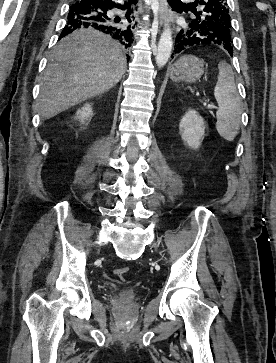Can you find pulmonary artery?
Returning <instances> with one entry per match:
<instances>
[{
	"instance_id": "1",
	"label": "pulmonary artery",
	"mask_w": 276,
	"mask_h": 363,
	"mask_svg": "<svg viewBox=\"0 0 276 363\" xmlns=\"http://www.w3.org/2000/svg\"><path fill=\"white\" fill-rule=\"evenodd\" d=\"M184 1H186V2H193L194 0H184Z\"/></svg>"
}]
</instances>
